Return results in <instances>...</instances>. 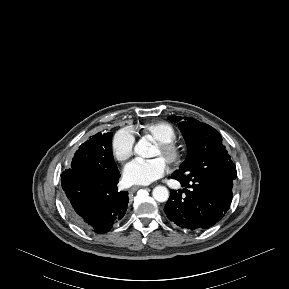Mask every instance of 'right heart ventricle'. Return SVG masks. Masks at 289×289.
<instances>
[{
    "instance_id": "1",
    "label": "right heart ventricle",
    "mask_w": 289,
    "mask_h": 289,
    "mask_svg": "<svg viewBox=\"0 0 289 289\" xmlns=\"http://www.w3.org/2000/svg\"><path fill=\"white\" fill-rule=\"evenodd\" d=\"M134 132L142 138L153 142H167L176 139L174 127L164 121H150L136 127Z\"/></svg>"
}]
</instances>
